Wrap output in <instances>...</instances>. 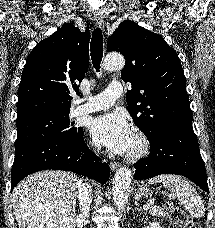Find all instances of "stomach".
Returning a JSON list of instances; mask_svg holds the SVG:
<instances>
[{
	"label": "stomach",
	"instance_id": "1",
	"mask_svg": "<svg viewBox=\"0 0 215 228\" xmlns=\"http://www.w3.org/2000/svg\"><path fill=\"white\" fill-rule=\"evenodd\" d=\"M151 192L152 190L149 186H139V194H141V196H149Z\"/></svg>",
	"mask_w": 215,
	"mask_h": 228
}]
</instances>
